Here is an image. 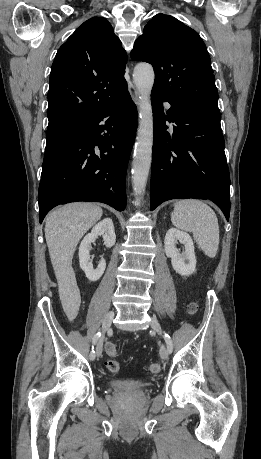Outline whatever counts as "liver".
<instances>
[{
    "label": "liver",
    "instance_id": "liver-1",
    "mask_svg": "<svg viewBox=\"0 0 261 459\" xmlns=\"http://www.w3.org/2000/svg\"><path fill=\"white\" fill-rule=\"evenodd\" d=\"M102 214V208L95 204L76 202L54 210L46 218L45 238L63 303H68L77 291L72 268L77 244Z\"/></svg>",
    "mask_w": 261,
    "mask_h": 459
}]
</instances>
